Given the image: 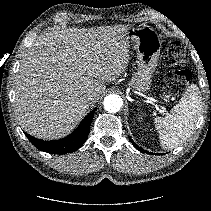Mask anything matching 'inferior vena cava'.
I'll use <instances>...</instances> for the list:
<instances>
[{
  "instance_id": "obj_1",
  "label": "inferior vena cava",
  "mask_w": 211,
  "mask_h": 211,
  "mask_svg": "<svg viewBox=\"0 0 211 211\" xmlns=\"http://www.w3.org/2000/svg\"><path fill=\"white\" fill-rule=\"evenodd\" d=\"M96 98L94 95L88 94L83 97V101L87 104H92L95 102Z\"/></svg>"
}]
</instances>
